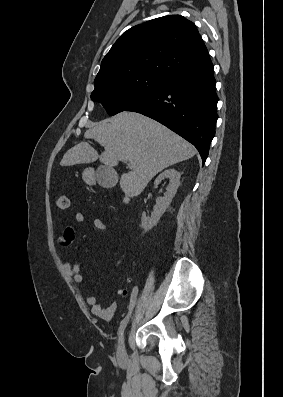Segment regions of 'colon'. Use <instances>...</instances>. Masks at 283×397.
<instances>
[{
	"instance_id": "obj_1",
	"label": "colon",
	"mask_w": 283,
	"mask_h": 397,
	"mask_svg": "<svg viewBox=\"0 0 283 397\" xmlns=\"http://www.w3.org/2000/svg\"><path fill=\"white\" fill-rule=\"evenodd\" d=\"M54 205L59 210L67 209L69 206V200L64 194H57L54 197Z\"/></svg>"
}]
</instances>
